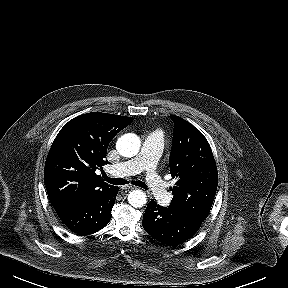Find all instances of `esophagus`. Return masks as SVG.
<instances>
[{
    "label": "esophagus",
    "mask_w": 288,
    "mask_h": 288,
    "mask_svg": "<svg viewBox=\"0 0 288 288\" xmlns=\"http://www.w3.org/2000/svg\"><path fill=\"white\" fill-rule=\"evenodd\" d=\"M136 188L137 187L132 186V185H126V186L123 187V189H125V190H133V189H136Z\"/></svg>",
    "instance_id": "1"
}]
</instances>
